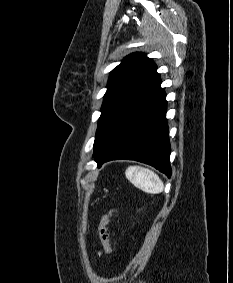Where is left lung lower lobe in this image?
<instances>
[{
    "label": "left lung lower lobe",
    "instance_id": "left-lung-lower-lobe-1",
    "mask_svg": "<svg viewBox=\"0 0 233 283\" xmlns=\"http://www.w3.org/2000/svg\"><path fill=\"white\" fill-rule=\"evenodd\" d=\"M157 73L93 156L98 167L115 159L149 164L171 176L166 94Z\"/></svg>",
    "mask_w": 233,
    "mask_h": 283
}]
</instances>
